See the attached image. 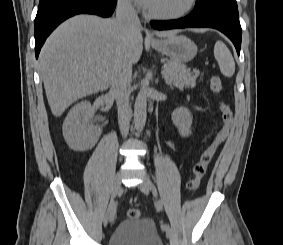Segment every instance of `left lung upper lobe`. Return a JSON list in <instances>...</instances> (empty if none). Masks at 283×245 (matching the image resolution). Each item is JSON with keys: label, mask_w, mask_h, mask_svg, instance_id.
<instances>
[{"label": "left lung upper lobe", "mask_w": 283, "mask_h": 245, "mask_svg": "<svg viewBox=\"0 0 283 245\" xmlns=\"http://www.w3.org/2000/svg\"><path fill=\"white\" fill-rule=\"evenodd\" d=\"M198 15H221L239 20L236 0H197L194 10Z\"/></svg>", "instance_id": "5c2ea615"}]
</instances>
